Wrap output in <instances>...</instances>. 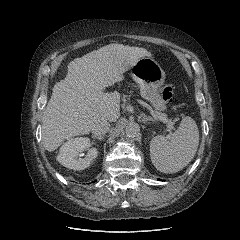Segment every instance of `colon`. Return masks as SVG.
Returning <instances> with one entry per match:
<instances>
[{
    "mask_svg": "<svg viewBox=\"0 0 240 240\" xmlns=\"http://www.w3.org/2000/svg\"><path fill=\"white\" fill-rule=\"evenodd\" d=\"M173 90H174V86L167 84L163 87L162 91H161V96L165 101H171L173 98Z\"/></svg>",
    "mask_w": 240,
    "mask_h": 240,
    "instance_id": "5ec220e1",
    "label": "colon"
}]
</instances>
